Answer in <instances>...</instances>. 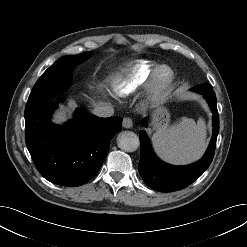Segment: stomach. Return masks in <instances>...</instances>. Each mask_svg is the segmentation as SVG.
I'll use <instances>...</instances> for the list:
<instances>
[{
    "instance_id": "obj_1",
    "label": "stomach",
    "mask_w": 247,
    "mask_h": 247,
    "mask_svg": "<svg viewBox=\"0 0 247 247\" xmlns=\"http://www.w3.org/2000/svg\"><path fill=\"white\" fill-rule=\"evenodd\" d=\"M166 101V97L161 98L151 113V125L154 130H158L169 123L170 113L166 107Z\"/></svg>"
}]
</instances>
